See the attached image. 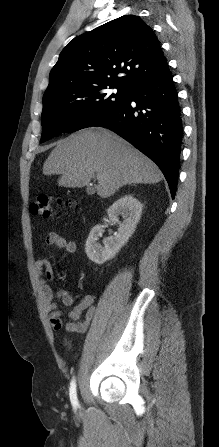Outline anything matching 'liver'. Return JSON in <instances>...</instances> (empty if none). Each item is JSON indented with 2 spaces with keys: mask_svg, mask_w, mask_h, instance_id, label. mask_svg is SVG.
<instances>
[{
  "mask_svg": "<svg viewBox=\"0 0 219 447\" xmlns=\"http://www.w3.org/2000/svg\"><path fill=\"white\" fill-rule=\"evenodd\" d=\"M44 175L58 174V186L81 188L96 175L97 194L112 196L127 184H153L163 174L148 157L104 128L83 129L57 142L43 165Z\"/></svg>",
  "mask_w": 219,
  "mask_h": 447,
  "instance_id": "obj_1",
  "label": "liver"
}]
</instances>
